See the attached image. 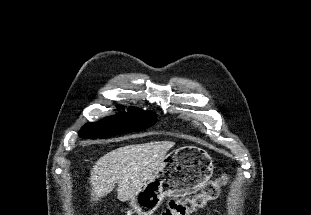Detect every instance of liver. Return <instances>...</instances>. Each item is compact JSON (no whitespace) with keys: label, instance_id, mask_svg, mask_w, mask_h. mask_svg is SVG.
Instances as JSON below:
<instances>
[{"label":"liver","instance_id":"liver-1","mask_svg":"<svg viewBox=\"0 0 311 215\" xmlns=\"http://www.w3.org/2000/svg\"><path fill=\"white\" fill-rule=\"evenodd\" d=\"M174 145L172 141L132 144L102 156L93 165L89 178L91 201L97 202L105 197L115 188V184L120 201L134 198Z\"/></svg>","mask_w":311,"mask_h":215}]
</instances>
